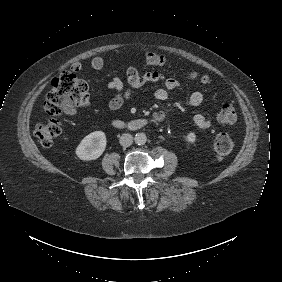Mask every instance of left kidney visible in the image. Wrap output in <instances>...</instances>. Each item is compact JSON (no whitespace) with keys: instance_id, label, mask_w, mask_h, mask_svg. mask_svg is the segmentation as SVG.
<instances>
[{"instance_id":"left-kidney-1","label":"left kidney","mask_w":282,"mask_h":282,"mask_svg":"<svg viewBox=\"0 0 282 282\" xmlns=\"http://www.w3.org/2000/svg\"><path fill=\"white\" fill-rule=\"evenodd\" d=\"M195 140H196V135H195V133L190 132V133L187 134V136H186V141H187V142H189V143H194Z\"/></svg>"}]
</instances>
